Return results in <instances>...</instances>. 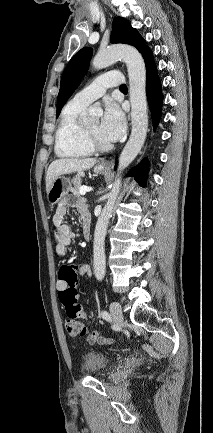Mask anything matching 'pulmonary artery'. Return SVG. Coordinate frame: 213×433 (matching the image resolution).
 I'll return each instance as SVG.
<instances>
[{
	"instance_id": "e3ab8cb5",
	"label": "pulmonary artery",
	"mask_w": 213,
	"mask_h": 433,
	"mask_svg": "<svg viewBox=\"0 0 213 433\" xmlns=\"http://www.w3.org/2000/svg\"><path fill=\"white\" fill-rule=\"evenodd\" d=\"M124 83L120 72L111 71L98 76L90 85L77 92L71 102L86 107L100 98L107 88L121 86Z\"/></svg>"
}]
</instances>
